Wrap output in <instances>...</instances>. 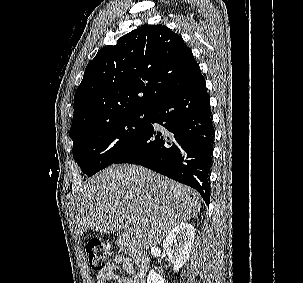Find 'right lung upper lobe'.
Here are the masks:
<instances>
[{
	"label": "right lung upper lobe",
	"mask_w": 303,
	"mask_h": 283,
	"mask_svg": "<svg viewBox=\"0 0 303 283\" xmlns=\"http://www.w3.org/2000/svg\"><path fill=\"white\" fill-rule=\"evenodd\" d=\"M181 36L146 25L102 48L85 69L74 96L70 134L135 111H148L201 77Z\"/></svg>",
	"instance_id": "right-lung-upper-lobe-1"
}]
</instances>
